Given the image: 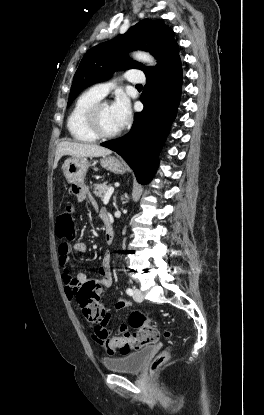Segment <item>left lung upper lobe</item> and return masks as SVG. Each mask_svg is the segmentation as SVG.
Masks as SVG:
<instances>
[{
  "instance_id": "obj_1",
  "label": "left lung upper lobe",
  "mask_w": 264,
  "mask_h": 415,
  "mask_svg": "<svg viewBox=\"0 0 264 415\" xmlns=\"http://www.w3.org/2000/svg\"><path fill=\"white\" fill-rule=\"evenodd\" d=\"M150 52L158 60L157 68L146 67L138 62H129L132 50ZM178 56V44L173 30L162 20L144 19L125 34L90 49L83 57L74 75L67 106L87 86L107 80L117 69H140L146 76L153 74Z\"/></svg>"
}]
</instances>
